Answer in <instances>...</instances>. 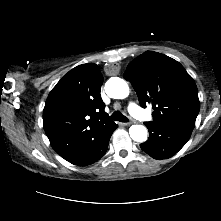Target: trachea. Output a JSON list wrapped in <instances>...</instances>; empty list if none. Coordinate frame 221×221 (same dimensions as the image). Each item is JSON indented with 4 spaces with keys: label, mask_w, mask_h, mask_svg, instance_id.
<instances>
[{
    "label": "trachea",
    "mask_w": 221,
    "mask_h": 221,
    "mask_svg": "<svg viewBox=\"0 0 221 221\" xmlns=\"http://www.w3.org/2000/svg\"><path fill=\"white\" fill-rule=\"evenodd\" d=\"M110 120H115V121H119V122H128V118L126 116H124L123 114H121L120 112H114L110 117Z\"/></svg>",
    "instance_id": "trachea-1"
}]
</instances>
